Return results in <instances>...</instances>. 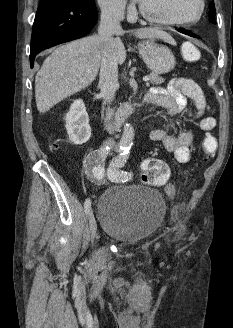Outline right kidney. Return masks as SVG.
Masks as SVG:
<instances>
[{
	"label": "right kidney",
	"instance_id": "ca27d5eb",
	"mask_svg": "<svg viewBox=\"0 0 233 328\" xmlns=\"http://www.w3.org/2000/svg\"><path fill=\"white\" fill-rule=\"evenodd\" d=\"M69 140L75 145L86 143L91 136V127L85 105L81 99L75 100L65 117Z\"/></svg>",
	"mask_w": 233,
	"mask_h": 328
}]
</instances>
